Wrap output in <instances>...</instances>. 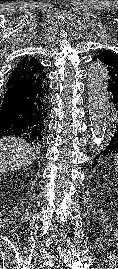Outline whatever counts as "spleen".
<instances>
[{"label": "spleen", "instance_id": "3e777b00", "mask_svg": "<svg viewBox=\"0 0 118 269\" xmlns=\"http://www.w3.org/2000/svg\"><path fill=\"white\" fill-rule=\"evenodd\" d=\"M115 167H116V170L118 171V155H117V159H116V162H115Z\"/></svg>", "mask_w": 118, "mask_h": 269}]
</instances>
